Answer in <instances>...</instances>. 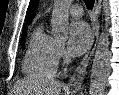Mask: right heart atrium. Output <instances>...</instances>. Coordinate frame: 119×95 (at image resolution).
Here are the masks:
<instances>
[{"mask_svg":"<svg viewBox=\"0 0 119 95\" xmlns=\"http://www.w3.org/2000/svg\"><path fill=\"white\" fill-rule=\"evenodd\" d=\"M56 56L58 60H62L66 56L64 45L59 42L56 44Z\"/></svg>","mask_w":119,"mask_h":95,"instance_id":"d8ad5b80","label":"right heart atrium"}]
</instances>
